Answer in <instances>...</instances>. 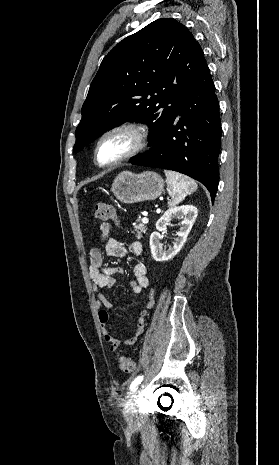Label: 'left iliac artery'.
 <instances>
[{
  "label": "left iliac artery",
  "mask_w": 279,
  "mask_h": 465,
  "mask_svg": "<svg viewBox=\"0 0 279 465\" xmlns=\"http://www.w3.org/2000/svg\"><path fill=\"white\" fill-rule=\"evenodd\" d=\"M142 380H143V376H138L137 378H135L133 382L131 383L130 389L133 390L134 388H136V386L140 384Z\"/></svg>",
  "instance_id": "obj_1"
}]
</instances>
